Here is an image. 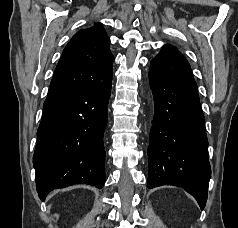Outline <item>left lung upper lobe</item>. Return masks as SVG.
Here are the masks:
<instances>
[{
	"mask_svg": "<svg viewBox=\"0 0 238 228\" xmlns=\"http://www.w3.org/2000/svg\"><path fill=\"white\" fill-rule=\"evenodd\" d=\"M164 47L177 51L174 47L169 46V45H165Z\"/></svg>",
	"mask_w": 238,
	"mask_h": 228,
	"instance_id": "5c2ea615",
	"label": "left lung upper lobe"
}]
</instances>
